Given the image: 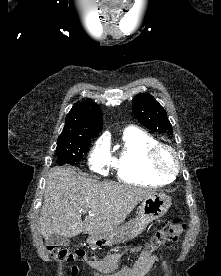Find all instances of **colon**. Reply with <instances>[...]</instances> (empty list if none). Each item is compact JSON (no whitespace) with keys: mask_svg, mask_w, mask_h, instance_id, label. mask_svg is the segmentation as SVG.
<instances>
[{"mask_svg":"<svg viewBox=\"0 0 221 276\" xmlns=\"http://www.w3.org/2000/svg\"><path fill=\"white\" fill-rule=\"evenodd\" d=\"M185 229V225L181 223L178 218L164 221L160 227L154 233L151 241L147 247L157 248L166 246L170 243L176 242ZM49 255L61 262L74 263L77 261L89 262L96 256L93 254H87L84 250H69L60 246H47ZM73 273H76V269H73Z\"/></svg>","mask_w":221,"mask_h":276,"instance_id":"obj_1","label":"colon"}]
</instances>
